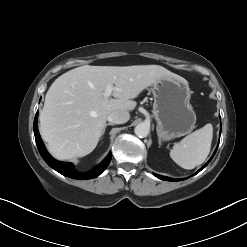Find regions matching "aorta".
Returning <instances> with one entry per match:
<instances>
[{
  "label": "aorta",
  "instance_id": "obj_1",
  "mask_svg": "<svg viewBox=\"0 0 247 247\" xmlns=\"http://www.w3.org/2000/svg\"><path fill=\"white\" fill-rule=\"evenodd\" d=\"M149 131H150V126L149 124L147 123H139L136 127H135V134L138 136V137H147L148 134H149Z\"/></svg>",
  "mask_w": 247,
  "mask_h": 247
}]
</instances>
